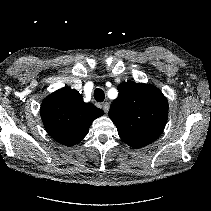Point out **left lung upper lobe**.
<instances>
[{
	"mask_svg": "<svg viewBox=\"0 0 211 211\" xmlns=\"http://www.w3.org/2000/svg\"><path fill=\"white\" fill-rule=\"evenodd\" d=\"M117 89L119 95L111 104L108 115L121 139L135 149L155 141L168 117L165 96L152 85L132 81L119 84Z\"/></svg>",
	"mask_w": 211,
	"mask_h": 211,
	"instance_id": "left-lung-upper-lobe-1",
	"label": "left lung upper lobe"
}]
</instances>
